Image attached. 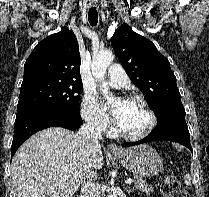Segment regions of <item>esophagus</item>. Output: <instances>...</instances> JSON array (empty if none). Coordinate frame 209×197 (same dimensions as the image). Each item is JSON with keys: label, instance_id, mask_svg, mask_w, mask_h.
Returning <instances> with one entry per match:
<instances>
[{"label": "esophagus", "instance_id": "1", "mask_svg": "<svg viewBox=\"0 0 209 197\" xmlns=\"http://www.w3.org/2000/svg\"><path fill=\"white\" fill-rule=\"evenodd\" d=\"M97 3L95 0H91L90 6H96ZM108 149L110 152L115 153V154H120L122 153L121 149L114 143H111L108 145Z\"/></svg>", "mask_w": 209, "mask_h": 197}]
</instances>
